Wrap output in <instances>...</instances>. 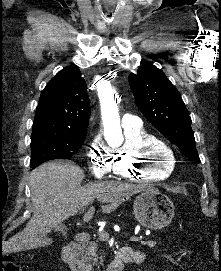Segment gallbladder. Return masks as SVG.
Instances as JSON below:
<instances>
[{
  "label": "gallbladder",
  "instance_id": "bac80fb5",
  "mask_svg": "<svg viewBox=\"0 0 221 271\" xmlns=\"http://www.w3.org/2000/svg\"><path fill=\"white\" fill-rule=\"evenodd\" d=\"M64 229V225L60 223V225H56V227H53V231H62Z\"/></svg>",
  "mask_w": 221,
  "mask_h": 271
}]
</instances>
